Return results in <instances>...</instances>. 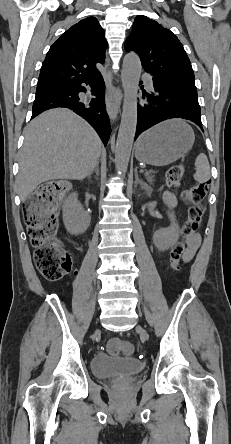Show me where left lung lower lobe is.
<instances>
[{"instance_id":"0a47b994","label":"left lung lower lobe","mask_w":231,"mask_h":444,"mask_svg":"<svg viewBox=\"0 0 231 444\" xmlns=\"http://www.w3.org/2000/svg\"><path fill=\"white\" fill-rule=\"evenodd\" d=\"M152 80V90L143 91L144 103L138 105L135 139L153 125L171 118L189 119L203 130L197 94L168 87L155 76Z\"/></svg>"}]
</instances>
